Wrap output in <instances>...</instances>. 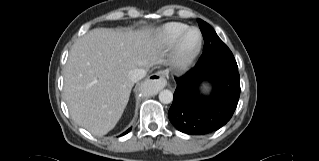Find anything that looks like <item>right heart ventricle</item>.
<instances>
[{"label":"right heart ventricle","mask_w":319,"mask_h":161,"mask_svg":"<svg viewBox=\"0 0 319 161\" xmlns=\"http://www.w3.org/2000/svg\"><path fill=\"white\" fill-rule=\"evenodd\" d=\"M188 28L187 24L181 22H168L152 32V38L162 47L171 46L177 36Z\"/></svg>","instance_id":"e07e8e85"}]
</instances>
